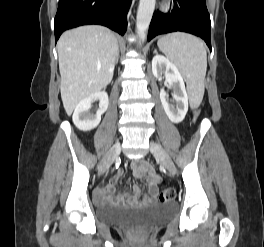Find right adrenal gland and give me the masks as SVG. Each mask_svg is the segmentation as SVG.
<instances>
[{"label":"right adrenal gland","mask_w":264,"mask_h":247,"mask_svg":"<svg viewBox=\"0 0 264 247\" xmlns=\"http://www.w3.org/2000/svg\"><path fill=\"white\" fill-rule=\"evenodd\" d=\"M118 60H119V53H118V55H117V57H116L115 65L118 63Z\"/></svg>","instance_id":"2a0ac1e0"}]
</instances>
